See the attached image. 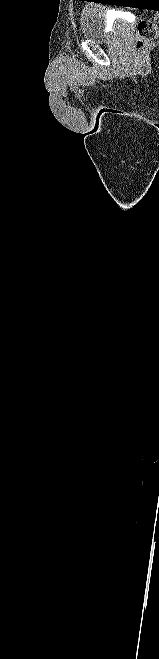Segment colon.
Instances as JSON below:
<instances>
[{"mask_svg": "<svg viewBox=\"0 0 159 659\" xmlns=\"http://www.w3.org/2000/svg\"><path fill=\"white\" fill-rule=\"evenodd\" d=\"M157 18L142 20L137 25L134 47L141 49L145 44L159 36Z\"/></svg>", "mask_w": 159, "mask_h": 659, "instance_id": "colon-1", "label": "colon"}]
</instances>
